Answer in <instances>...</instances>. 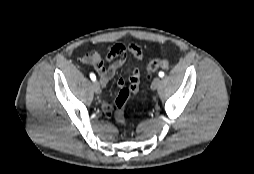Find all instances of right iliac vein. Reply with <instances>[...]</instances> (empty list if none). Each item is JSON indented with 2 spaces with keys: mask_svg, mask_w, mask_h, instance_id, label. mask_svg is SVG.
Instances as JSON below:
<instances>
[{
  "mask_svg": "<svg viewBox=\"0 0 254 174\" xmlns=\"http://www.w3.org/2000/svg\"><path fill=\"white\" fill-rule=\"evenodd\" d=\"M93 90L96 94H100L101 92V88H100V84L98 81H94L93 82Z\"/></svg>",
  "mask_w": 254,
  "mask_h": 174,
  "instance_id": "1",
  "label": "right iliac vein"
}]
</instances>
